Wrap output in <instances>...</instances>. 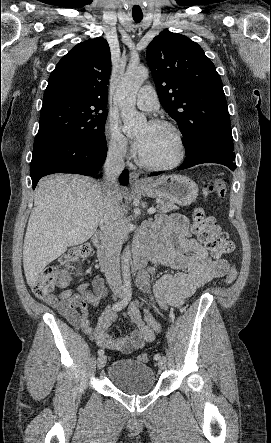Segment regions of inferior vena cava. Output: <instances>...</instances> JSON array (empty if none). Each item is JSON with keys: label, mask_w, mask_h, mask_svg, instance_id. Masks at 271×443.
Returning a JSON list of instances; mask_svg holds the SVG:
<instances>
[{"label": "inferior vena cava", "mask_w": 271, "mask_h": 443, "mask_svg": "<svg viewBox=\"0 0 271 443\" xmlns=\"http://www.w3.org/2000/svg\"><path fill=\"white\" fill-rule=\"evenodd\" d=\"M124 142L110 144L107 158L104 164L103 182H99V188L105 214L100 218V229L108 233V243L100 259L101 271H104L113 296H124L120 277V251L127 227L119 206V186L117 180L125 168L124 156L126 154Z\"/></svg>", "instance_id": "obj_1"}]
</instances>
